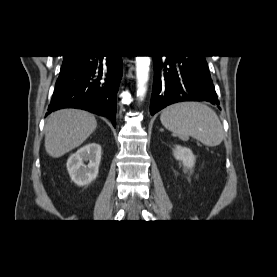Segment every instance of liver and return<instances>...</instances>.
<instances>
[{
	"instance_id": "liver-1",
	"label": "liver",
	"mask_w": 277,
	"mask_h": 277,
	"mask_svg": "<svg viewBox=\"0 0 277 277\" xmlns=\"http://www.w3.org/2000/svg\"><path fill=\"white\" fill-rule=\"evenodd\" d=\"M97 121L89 112L63 109L52 113L45 125V150L54 158L80 146L96 129Z\"/></svg>"
}]
</instances>
